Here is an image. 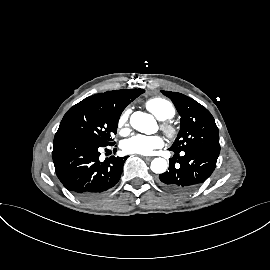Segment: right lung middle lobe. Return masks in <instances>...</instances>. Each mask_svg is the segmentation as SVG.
Returning <instances> with one entry per match:
<instances>
[{
  "label": "right lung middle lobe",
  "mask_w": 270,
  "mask_h": 270,
  "mask_svg": "<svg viewBox=\"0 0 270 270\" xmlns=\"http://www.w3.org/2000/svg\"><path fill=\"white\" fill-rule=\"evenodd\" d=\"M121 113L87 97L64 115L55 138L79 137L100 146L113 145Z\"/></svg>",
  "instance_id": "obj_1"
}]
</instances>
